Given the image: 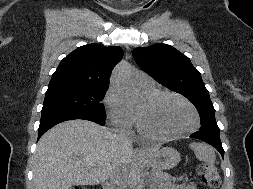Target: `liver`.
I'll return each instance as SVG.
<instances>
[{
  "instance_id": "6515ba94",
  "label": "liver",
  "mask_w": 253,
  "mask_h": 189,
  "mask_svg": "<svg viewBox=\"0 0 253 189\" xmlns=\"http://www.w3.org/2000/svg\"><path fill=\"white\" fill-rule=\"evenodd\" d=\"M158 151L152 148L150 153ZM135 159L107 128L87 120H70L47 131L33 158L34 189H69L104 183L117 167Z\"/></svg>"
}]
</instances>
